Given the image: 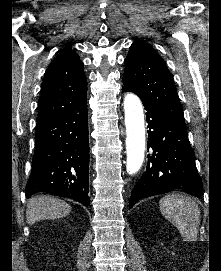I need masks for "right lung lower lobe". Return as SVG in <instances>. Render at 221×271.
<instances>
[{"mask_svg":"<svg viewBox=\"0 0 221 271\" xmlns=\"http://www.w3.org/2000/svg\"><path fill=\"white\" fill-rule=\"evenodd\" d=\"M36 145L26 197L39 192L90 205L87 105L37 122Z\"/></svg>","mask_w":221,"mask_h":271,"instance_id":"98d812e1","label":"right lung lower lobe"}]
</instances>
